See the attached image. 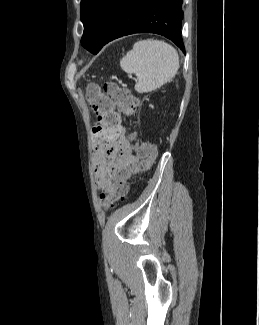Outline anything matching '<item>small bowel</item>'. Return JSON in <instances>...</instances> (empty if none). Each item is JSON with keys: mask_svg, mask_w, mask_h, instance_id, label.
<instances>
[{"mask_svg": "<svg viewBox=\"0 0 259 325\" xmlns=\"http://www.w3.org/2000/svg\"><path fill=\"white\" fill-rule=\"evenodd\" d=\"M116 123L110 129H102L98 139H94L97 151L95 158V179L103 193L112 190L116 175L124 170L138 172L139 158L125 136V128L121 116L114 108L110 110Z\"/></svg>", "mask_w": 259, "mask_h": 325, "instance_id": "obj_1", "label": "small bowel"}]
</instances>
